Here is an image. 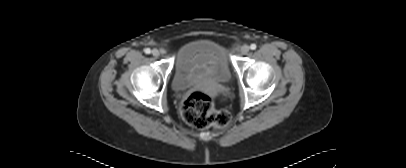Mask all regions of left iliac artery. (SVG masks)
<instances>
[{
    "mask_svg": "<svg viewBox=\"0 0 406 168\" xmlns=\"http://www.w3.org/2000/svg\"><path fill=\"white\" fill-rule=\"evenodd\" d=\"M256 47H257L256 44H251V45H250V48H251L252 50H255Z\"/></svg>",
    "mask_w": 406,
    "mask_h": 168,
    "instance_id": "obj_1",
    "label": "left iliac artery"
}]
</instances>
